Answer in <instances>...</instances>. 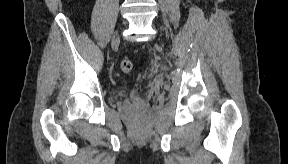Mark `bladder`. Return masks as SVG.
Wrapping results in <instances>:
<instances>
[{
  "label": "bladder",
  "mask_w": 288,
  "mask_h": 164,
  "mask_svg": "<svg viewBox=\"0 0 288 164\" xmlns=\"http://www.w3.org/2000/svg\"><path fill=\"white\" fill-rule=\"evenodd\" d=\"M127 95V89L122 90V96H126Z\"/></svg>",
  "instance_id": "bladder-1"
}]
</instances>
